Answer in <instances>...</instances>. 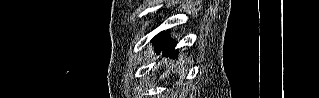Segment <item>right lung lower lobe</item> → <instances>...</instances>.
I'll use <instances>...</instances> for the list:
<instances>
[{"instance_id":"1","label":"right lung lower lobe","mask_w":319,"mask_h":98,"mask_svg":"<svg viewBox=\"0 0 319 98\" xmlns=\"http://www.w3.org/2000/svg\"><path fill=\"white\" fill-rule=\"evenodd\" d=\"M168 32H161L153 39V44L156 47V53L163 51V54H167L170 57H176L177 53L174 51L176 42L168 38Z\"/></svg>"}]
</instances>
